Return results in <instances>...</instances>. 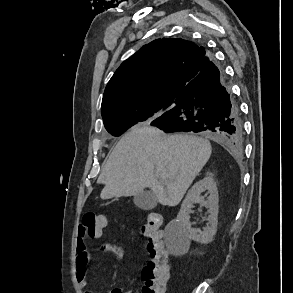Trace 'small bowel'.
Masks as SVG:
<instances>
[{
  "mask_svg": "<svg viewBox=\"0 0 293 293\" xmlns=\"http://www.w3.org/2000/svg\"><path fill=\"white\" fill-rule=\"evenodd\" d=\"M99 251L109 253L115 256L116 259L122 260L125 257V249L112 242H104L100 245ZM92 260L91 253L87 247V239L83 234L82 228H79L76 239L75 253V270L77 281L81 287L87 286V268ZM84 293H94L91 290H86ZM110 293H133L132 290H124L122 288H114Z\"/></svg>",
  "mask_w": 293,
  "mask_h": 293,
  "instance_id": "small-bowel-1",
  "label": "small bowel"
}]
</instances>
